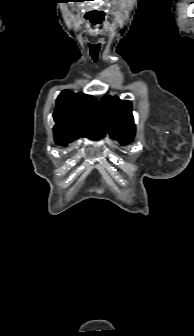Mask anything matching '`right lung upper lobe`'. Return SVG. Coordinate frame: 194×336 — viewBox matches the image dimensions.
Segmentation results:
<instances>
[{"label": "right lung upper lobe", "instance_id": "obj_1", "mask_svg": "<svg viewBox=\"0 0 194 336\" xmlns=\"http://www.w3.org/2000/svg\"><path fill=\"white\" fill-rule=\"evenodd\" d=\"M55 140L72 141L79 136L100 139L105 126L96 99L86 94L63 91L53 114Z\"/></svg>", "mask_w": 194, "mask_h": 336}]
</instances>
